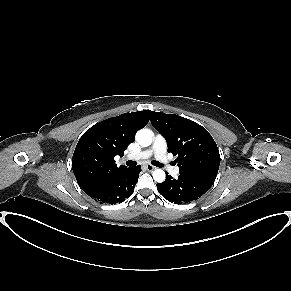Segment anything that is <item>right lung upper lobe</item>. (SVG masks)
<instances>
[{"label":"right lung upper lobe","instance_id":"1","mask_svg":"<svg viewBox=\"0 0 291 291\" xmlns=\"http://www.w3.org/2000/svg\"><path fill=\"white\" fill-rule=\"evenodd\" d=\"M150 114V110L124 113L95 124L82 135L72 157V170L85 193L127 169L117 167L114 157L123 155L135 133L148 124Z\"/></svg>","mask_w":291,"mask_h":291}]
</instances>
